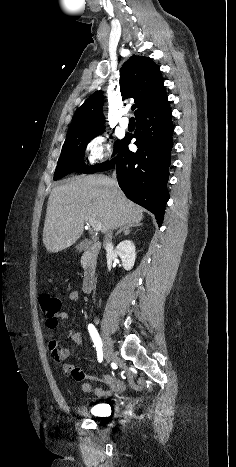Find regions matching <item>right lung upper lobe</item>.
<instances>
[{
    "label": "right lung upper lobe",
    "instance_id": "obj_1",
    "mask_svg": "<svg viewBox=\"0 0 236 467\" xmlns=\"http://www.w3.org/2000/svg\"><path fill=\"white\" fill-rule=\"evenodd\" d=\"M120 91L123 98H134L137 117L166 98L160 68L150 58L131 56L120 70ZM103 92L96 91L76 111L68 134L103 129Z\"/></svg>",
    "mask_w": 236,
    "mask_h": 467
}]
</instances>
